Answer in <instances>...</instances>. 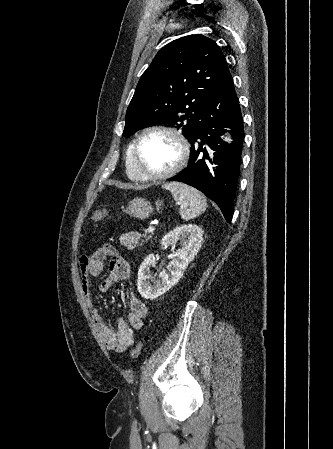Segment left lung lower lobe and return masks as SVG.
I'll return each instance as SVG.
<instances>
[{
    "instance_id": "0a47b994",
    "label": "left lung lower lobe",
    "mask_w": 333,
    "mask_h": 449,
    "mask_svg": "<svg viewBox=\"0 0 333 449\" xmlns=\"http://www.w3.org/2000/svg\"><path fill=\"white\" fill-rule=\"evenodd\" d=\"M223 127L231 129L233 142L230 145L220 137L225 133ZM243 140V118L231 77L209 100L200 117L190 141L188 166L169 180L186 183L203 192L217 203L225 219L230 222ZM204 145L210 149L207 150ZM214 164L216 167L211 166Z\"/></svg>"
}]
</instances>
